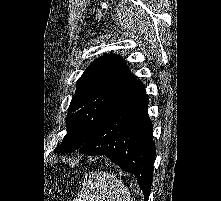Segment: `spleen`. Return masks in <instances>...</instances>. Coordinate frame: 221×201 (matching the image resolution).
<instances>
[{
	"label": "spleen",
	"mask_w": 221,
	"mask_h": 201,
	"mask_svg": "<svg viewBox=\"0 0 221 201\" xmlns=\"http://www.w3.org/2000/svg\"><path fill=\"white\" fill-rule=\"evenodd\" d=\"M73 201H133L131 193L121 180L102 171L86 176L82 189Z\"/></svg>",
	"instance_id": "spleen-1"
}]
</instances>
